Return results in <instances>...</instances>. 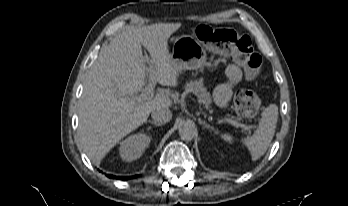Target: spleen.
<instances>
[{
    "label": "spleen",
    "instance_id": "spleen-1",
    "mask_svg": "<svg viewBox=\"0 0 348 206\" xmlns=\"http://www.w3.org/2000/svg\"><path fill=\"white\" fill-rule=\"evenodd\" d=\"M277 119L278 107L275 104H271L263 110L259 125L254 134L244 139L252 160L259 159L267 151L275 134ZM221 138L225 142H233V137L229 133L222 134Z\"/></svg>",
    "mask_w": 348,
    "mask_h": 206
}]
</instances>
